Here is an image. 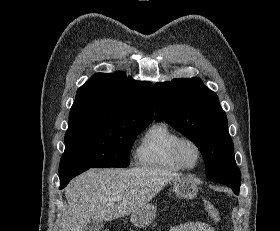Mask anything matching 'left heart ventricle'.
I'll list each match as a JSON object with an SVG mask.
<instances>
[{
    "label": "left heart ventricle",
    "mask_w": 280,
    "mask_h": 231,
    "mask_svg": "<svg viewBox=\"0 0 280 231\" xmlns=\"http://www.w3.org/2000/svg\"><path fill=\"white\" fill-rule=\"evenodd\" d=\"M180 156L183 164L189 169H194L200 160L198 149L191 142H185L181 146Z\"/></svg>",
    "instance_id": "obj_1"
}]
</instances>
